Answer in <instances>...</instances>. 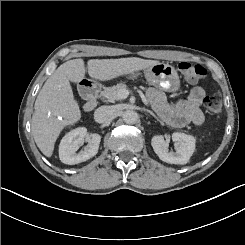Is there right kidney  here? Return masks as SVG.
Returning a JSON list of instances; mask_svg holds the SVG:
<instances>
[{"mask_svg": "<svg viewBox=\"0 0 245 245\" xmlns=\"http://www.w3.org/2000/svg\"><path fill=\"white\" fill-rule=\"evenodd\" d=\"M88 145L79 153L76 151L83 145L84 140ZM101 136L99 134L88 135L85 127H78L68 132L61 140L59 145V158L62 163L74 165L84 162L98 152Z\"/></svg>", "mask_w": 245, "mask_h": 245, "instance_id": "obj_1", "label": "right kidney"}]
</instances>
